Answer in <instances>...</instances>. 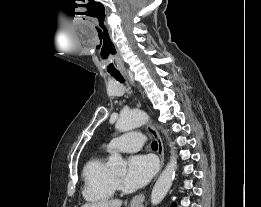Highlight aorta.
<instances>
[{
    "label": "aorta",
    "instance_id": "1",
    "mask_svg": "<svg viewBox=\"0 0 261 207\" xmlns=\"http://www.w3.org/2000/svg\"><path fill=\"white\" fill-rule=\"evenodd\" d=\"M147 121L148 115L144 111L138 110L123 112L120 114V117L115 124V128L120 132H126L146 124ZM108 166L118 169L124 167L125 162L121 155L114 153L109 157ZM175 172L176 157L173 154L169 163L166 165L165 169L162 171L153 187L151 193L152 205H157L164 199L172 185L175 177Z\"/></svg>",
    "mask_w": 261,
    "mask_h": 207
}]
</instances>
